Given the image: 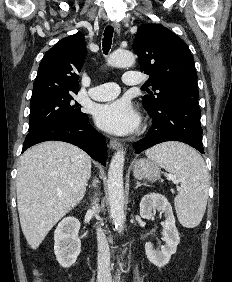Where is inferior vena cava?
I'll use <instances>...</instances> for the list:
<instances>
[{
	"mask_svg": "<svg viewBox=\"0 0 232 282\" xmlns=\"http://www.w3.org/2000/svg\"><path fill=\"white\" fill-rule=\"evenodd\" d=\"M97 181H94V185ZM97 199L93 201L91 211L96 214L99 213V206L97 204ZM97 244H98V282H111L110 273V252L109 245L106 236L101 229L97 227Z\"/></svg>",
	"mask_w": 232,
	"mask_h": 282,
	"instance_id": "inferior-vena-cava-1",
	"label": "inferior vena cava"
}]
</instances>
